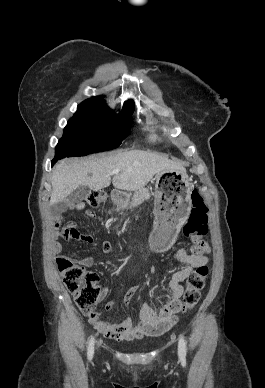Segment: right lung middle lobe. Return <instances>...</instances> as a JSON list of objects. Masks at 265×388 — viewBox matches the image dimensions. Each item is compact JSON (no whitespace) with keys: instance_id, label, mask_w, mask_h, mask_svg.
<instances>
[{"instance_id":"right-lung-middle-lobe-1","label":"right lung middle lobe","mask_w":265,"mask_h":388,"mask_svg":"<svg viewBox=\"0 0 265 388\" xmlns=\"http://www.w3.org/2000/svg\"><path fill=\"white\" fill-rule=\"evenodd\" d=\"M134 105L124 103L114 115L101 98H90L78 105L56 146L58 158L85 156L119 147L129 135Z\"/></svg>"}]
</instances>
